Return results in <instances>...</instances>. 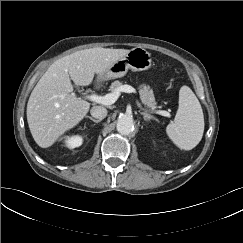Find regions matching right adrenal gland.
<instances>
[{
	"label": "right adrenal gland",
	"mask_w": 243,
	"mask_h": 243,
	"mask_svg": "<svg viewBox=\"0 0 243 243\" xmlns=\"http://www.w3.org/2000/svg\"><path fill=\"white\" fill-rule=\"evenodd\" d=\"M86 118H89L90 120H92L93 122H95V123H99L101 120H96V119H94L93 117H91V116H86Z\"/></svg>",
	"instance_id": "2a0ac1e0"
}]
</instances>
